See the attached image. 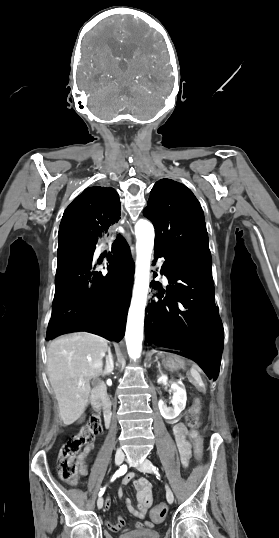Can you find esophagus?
I'll return each mask as SVG.
<instances>
[{
	"label": "esophagus",
	"mask_w": 279,
	"mask_h": 538,
	"mask_svg": "<svg viewBox=\"0 0 279 538\" xmlns=\"http://www.w3.org/2000/svg\"><path fill=\"white\" fill-rule=\"evenodd\" d=\"M125 238H126V240L128 241V243L131 244V238H130V235H129L128 233L125 234Z\"/></svg>",
	"instance_id": "obj_1"
}]
</instances>
